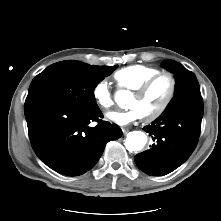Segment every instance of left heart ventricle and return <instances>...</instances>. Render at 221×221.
<instances>
[{
    "instance_id": "left-heart-ventricle-1",
    "label": "left heart ventricle",
    "mask_w": 221,
    "mask_h": 221,
    "mask_svg": "<svg viewBox=\"0 0 221 221\" xmlns=\"http://www.w3.org/2000/svg\"><path fill=\"white\" fill-rule=\"evenodd\" d=\"M169 87L170 82L168 77L163 76L153 84L146 95L142 97L133 95L128 106L137 109L141 117L149 115L163 104Z\"/></svg>"
}]
</instances>
